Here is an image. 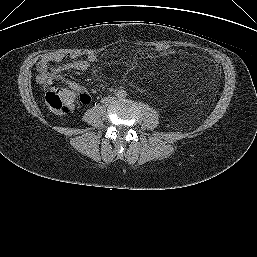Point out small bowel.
Masks as SVG:
<instances>
[{
  "label": "small bowel",
  "mask_w": 257,
  "mask_h": 257,
  "mask_svg": "<svg viewBox=\"0 0 257 257\" xmlns=\"http://www.w3.org/2000/svg\"><path fill=\"white\" fill-rule=\"evenodd\" d=\"M95 54H88L85 57H78L74 55L70 60H67V56L63 53H47L44 54L37 63V82L42 85L49 86L56 80L66 84L71 90L78 94L84 95L86 102L90 101L85 87L73 80L67 79L62 75L64 72L69 71H86L96 61Z\"/></svg>",
  "instance_id": "1"
}]
</instances>
